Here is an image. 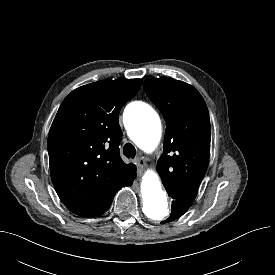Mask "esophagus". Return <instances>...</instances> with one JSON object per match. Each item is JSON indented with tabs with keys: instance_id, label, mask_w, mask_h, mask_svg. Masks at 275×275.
Returning <instances> with one entry per match:
<instances>
[{
	"instance_id": "esophagus-1",
	"label": "esophagus",
	"mask_w": 275,
	"mask_h": 275,
	"mask_svg": "<svg viewBox=\"0 0 275 275\" xmlns=\"http://www.w3.org/2000/svg\"><path fill=\"white\" fill-rule=\"evenodd\" d=\"M134 162L140 169H143L144 167L147 166V163H146L145 159H143V158L138 157L134 160Z\"/></svg>"
}]
</instances>
